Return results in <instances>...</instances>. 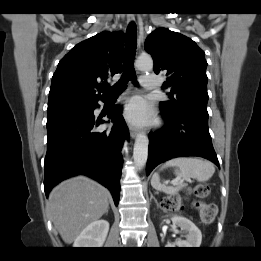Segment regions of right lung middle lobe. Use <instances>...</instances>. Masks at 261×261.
<instances>
[{
	"label": "right lung middle lobe",
	"instance_id": "right-lung-middle-lobe-1",
	"mask_svg": "<svg viewBox=\"0 0 261 261\" xmlns=\"http://www.w3.org/2000/svg\"><path fill=\"white\" fill-rule=\"evenodd\" d=\"M88 101L73 100V99H57L48 102L47 113L54 112L69 107H85L89 104Z\"/></svg>",
	"mask_w": 261,
	"mask_h": 261
}]
</instances>
